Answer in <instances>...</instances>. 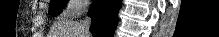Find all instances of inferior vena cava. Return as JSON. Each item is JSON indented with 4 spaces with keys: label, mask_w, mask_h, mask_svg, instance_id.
Returning <instances> with one entry per match:
<instances>
[{
    "label": "inferior vena cava",
    "mask_w": 219,
    "mask_h": 37,
    "mask_svg": "<svg viewBox=\"0 0 219 37\" xmlns=\"http://www.w3.org/2000/svg\"><path fill=\"white\" fill-rule=\"evenodd\" d=\"M91 25V18L86 16L79 24L78 34L80 37H89V28Z\"/></svg>",
    "instance_id": "1"
}]
</instances>
